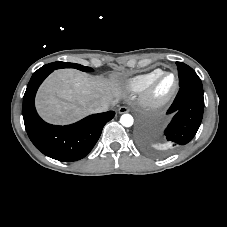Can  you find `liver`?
<instances>
[{"instance_id":"liver-1","label":"liver","mask_w":227,"mask_h":227,"mask_svg":"<svg viewBox=\"0 0 227 227\" xmlns=\"http://www.w3.org/2000/svg\"><path fill=\"white\" fill-rule=\"evenodd\" d=\"M122 97L117 78L89 76L77 70L53 72L41 85L36 96L40 116L54 124H68L93 113L92 105L101 100L110 105Z\"/></svg>"}]
</instances>
